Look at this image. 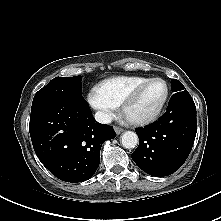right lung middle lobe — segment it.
<instances>
[{
    "mask_svg": "<svg viewBox=\"0 0 221 221\" xmlns=\"http://www.w3.org/2000/svg\"><path fill=\"white\" fill-rule=\"evenodd\" d=\"M75 97H82L81 76L56 77L35 94L31 109L53 100Z\"/></svg>",
    "mask_w": 221,
    "mask_h": 221,
    "instance_id": "1",
    "label": "right lung middle lobe"
}]
</instances>
